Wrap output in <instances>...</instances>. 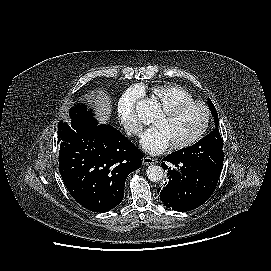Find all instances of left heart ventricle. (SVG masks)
<instances>
[{
    "mask_svg": "<svg viewBox=\"0 0 271 271\" xmlns=\"http://www.w3.org/2000/svg\"><path fill=\"white\" fill-rule=\"evenodd\" d=\"M204 121V111L199 107H190L174 116L157 113L152 123L161 127L170 145H174L192 138L201 129Z\"/></svg>",
    "mask_w": 271,
    "mask_h": 271,
    "instance_id": "b2bd125f",
    "label": "left heart ventricle"
}]
</instances>
